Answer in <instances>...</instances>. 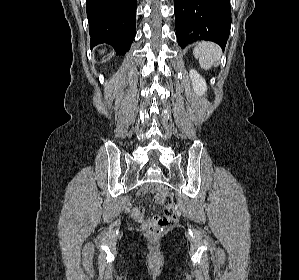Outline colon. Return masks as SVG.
<instances>
[{
	"label": "colon",
	"instance_id": "obj_1",
	"mask_svg": "<svg viewBox=\"0 0 299 280\" xmlns=\"http://www.w3.org/2000/svg\"><path fill=\"white\" fill-rule=\"evenodd\" d=\"M155 201L163 204L165 209L163 215H156L151 218L147 226V231L152 237H157L164 228L174 225L177 222L173 199L163 188H160L159 193L155 197Z\"/></svg>",
	"mask_w": 299,
	"mask_h": 280
}]
</instances>
